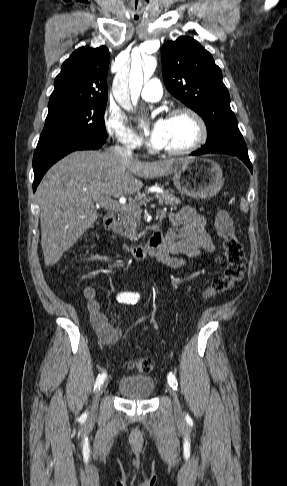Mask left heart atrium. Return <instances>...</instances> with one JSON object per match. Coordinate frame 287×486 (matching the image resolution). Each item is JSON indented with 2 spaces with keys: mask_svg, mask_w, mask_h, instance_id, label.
I'll use <instances>...</instances> for the list:
<instances>
[{
  "mask_svg": "<svg viewBox=\"0 0 287 486\" xmlns=\"http://www.w3.org/2000/svg\"><path fill=\"white\" fill-rule=\"evenodd\" d=\"M165 131V120L154 122L150 129L149 142L153 147L161 148Z\"/></svg>",
  "mask_w": 287,
  "mask_h": 486,
  "instance_id": "39dd6f15",
  "label": "left heart atrium"
}]
</instances>
